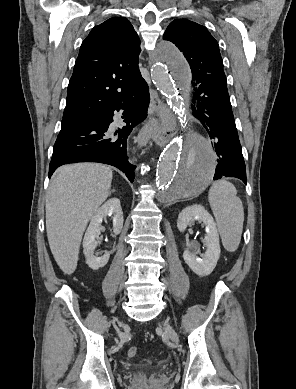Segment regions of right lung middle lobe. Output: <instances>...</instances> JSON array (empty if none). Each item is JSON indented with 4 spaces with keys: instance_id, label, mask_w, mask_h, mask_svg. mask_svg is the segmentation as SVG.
Here are the masks:
<instances>
[{
    "instance_id": "obj_1",
    "label": "right lung middle lobe",
    "mask_w": 296,
    "mask_h": 389,
    "mask_svg": "<svg viewBox=\"0 0 296 389\" xmlns=\"http://www.w3.org/2000/svg\"><path fill=\"white\" fill-rule=\"evenodd\" d=\"M88 118H73V119H63L61 123V130H66L69 128H72L84 121H86Z\"/></svg>"
}]
</instances>
